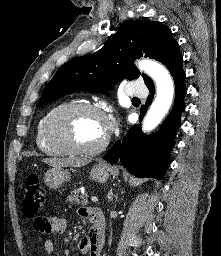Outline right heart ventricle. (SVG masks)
<instances>
[{"label":"right heart ventricle","mask_w":221,"mask_h":256,"mask_svg":"<svg viewBox=\"0 0 221 256\" xmlns=\"http://www.w3.org/2000/svg\"><path fill=\"white\" fill-rule=\"evenodd\" d=\"M68 102H62L59 104H56L52 106L39 120L37 127H36V135H35V140H36V145L38 149L47 154V155H62L65 154L66 152L57 145H54L51 143L47 137H46V127H47V122L49 117L52 115V113L57 110L59 107L62 105L67 104Z\"/></svg>","instance_id":"1"}]
</instances>
